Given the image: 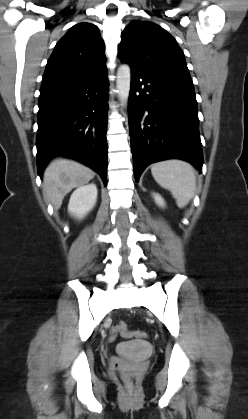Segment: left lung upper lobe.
Returning <instances> with one entry per match:
<instances>
[{
	"instance_id": "5c2ea615",
	"label": "left lung upper lobe",
	"mask_w": 248,
	"mask_h": 419,
	"mask_svg": "<svg viewBox=\"0 0 248 419\" xmlns=\"http://www.w3.org/2000/svg\"><path fill=\"white\" fill-rule=\"evenodd\" d=\"M118 58L131 68L193 87L184 53L175 38L149 21H132L123 31Z\"/></svg>"
}]
</instances>
